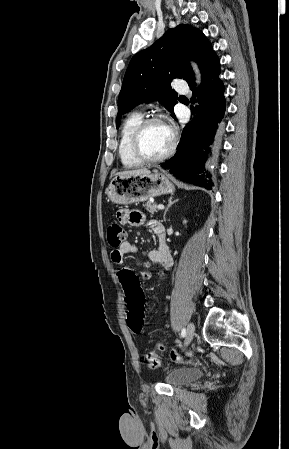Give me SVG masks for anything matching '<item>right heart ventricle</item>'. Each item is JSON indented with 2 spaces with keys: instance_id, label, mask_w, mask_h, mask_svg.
I'll return each instance as SVG.
<instances>
[{
  "instance_id": "right-heart-ventricle-1",
  "label": "right heart ventricle",
  "mask_w": 289,
  "mask_h": 449,
  "mask_svg": "<svg viewBox=\"0 0 289 449\" xmlns=\"http://www.w3.org/2000/svg\"><path fill=\"white\" fill-rule=\"evenodd\" d=\"M142 120L143 115L140 112H133L125 119L121 129L119 157L122 164L128 168L137 167L142 163L134 156L131 146L133 133Z\"/></svg>"
}]
</instances>
